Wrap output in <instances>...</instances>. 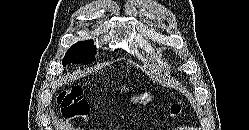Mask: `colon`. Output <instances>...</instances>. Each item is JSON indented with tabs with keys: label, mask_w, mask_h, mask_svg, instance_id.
<instances>
[{
	"label": "colon",
	"mask_w": 249,
	"mask_h": 130,
	"mask_svg": "<svg viewBox=\"0 0 249 130\" xmlns=\"http://www.w3.org/2000/svg\"><path fill=\"white\" fill-rule=\"evenodd\" d=\"M57 103L61 107L65 119L86 118L89 113V106L83 98L82 89L78 86L63 90L57 97ZM182 112L179 103L172 105V116H178Z\"/></svg>",
	"instance_id": "1"
}]
</instances>
